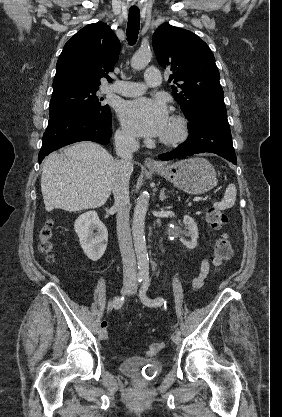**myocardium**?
Returning a JSON list of instances; mask_svg holds the SVG:
<instances>
[{
    "mask_svg": "<svg viewBox=\"0 0 282 417\" xmlns=\"http://www.w3.org/2000/svg\"><path fill=\"white\" fill-rule=\"evenodd\" d=\"M170 123L173 127V133L169 136L162 135L160 142L167 146H175L186 140L188 136V128L186 120L178 115L170 117Z\"/></svg>",
    "mask_w": 282,
    "mask_h": 417,
    "instance_id": "1",
    "label": "myocardium"
}]
</instances>
